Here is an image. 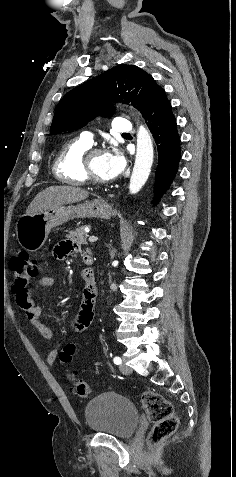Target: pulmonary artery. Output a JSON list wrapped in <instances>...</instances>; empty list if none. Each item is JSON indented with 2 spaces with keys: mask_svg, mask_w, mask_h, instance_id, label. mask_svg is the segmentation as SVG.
<instances>
[{
  "mask_svg": "<svg viewBox=\"0 0 236 477\" xmlns=\"http://www.w3.org/2000/svg\"><path fill=\"white\" fill-rule=\"evenodd\" d=\"M112 129L114 132L121 134L133 132L131 123L124 118H115L112 123ZM80 141L88 146H91L93 143V134L89 131L82 132L80 134Z\"/></svg>",
  "mask_w": 236,
  "mask_h": 477,
  "instance_id": "e3ab8cb5",
  "label": "pulmonary artery"
}]
</instances>
